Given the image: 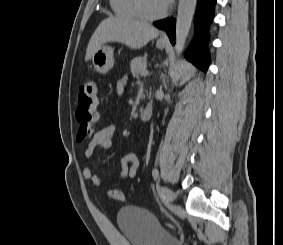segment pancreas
Returning a JSON list of instances; mask_svg holds the SVG:
<instances>
[{
	"mask_svg": "<svg viewBox=\"0 0 283 245\" xmlns=\"http://www.w3.org/2000/svg\"><path fill=\"white\" fill-rule=\"evenodd\" d=\"M147 67V60L145 57H137L133 59L130 63V69L133 76H138L141 74Z\"/></svg>",
	"mask_w": 283,
	"mask_h": 245,
	"instance_id": "cf45deb5",
	"label": "pancreas"
}]
</instances>
